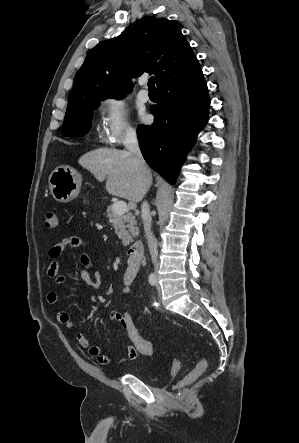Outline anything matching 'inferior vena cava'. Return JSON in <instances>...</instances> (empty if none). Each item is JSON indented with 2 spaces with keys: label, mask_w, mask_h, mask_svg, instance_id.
<instances>
[{
  "label": "inferior vena cava",
  "mask_w": 299,
  "mask_h": 443,
  "mask_svg": "<svg viewBox=\"0 0 299 443\" xmlns=\"http://www.w3.org/2000/svg\"><path fill=\"white\" fill-rule=\"evenodd\" d=\"M124 145H125L126 149L128 150V153L132 156L133 163L140 173V178L143 181V191L146 193V191L148 190V188L150 186V181L145 177V175L147 174V168H146L145 161L142 157V154H141V151L139 148L137 135L134 130H127L126 135H125V139H124ZM141 213H142L145 236H146V239L148 242L150 255H151L155 270H157V268H158L157 241H156L155 237L153 236V233L151 232L152 218L150 216V207L146 201L143 202V204L141 206Z\"/></svg>",
  "instance_id": "1"
}]
</instances>
